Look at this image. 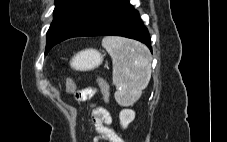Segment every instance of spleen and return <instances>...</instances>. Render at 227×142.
I'll list each match as a JSON object with an SVG mask.
<instances>
[{
	"label": "spleen",
	"instance_id": "obj_1",
	"mask_svg": "<svg viewBox=\"0 0 227 142\" xmlns=\"http://www.w3.org/2000/svg\"><path fill=\"white\" fill-rule=\"evenodd\" d=\"M102 46L110 54L113 64V84L118 88L114 96L120 105L136 102L151 78L149 49L133 40L105 37Z\"/></svg>",
	"mask_w": 227,
	"mask_h": 142
}]
</instances>
